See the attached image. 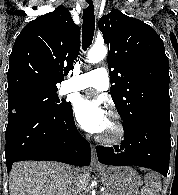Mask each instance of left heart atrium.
<instances>
[{
    "label": "left heart atrium",
    "mask_w": 178,
    "mask_h": 195,
    "mask_svg": "<svg viewBox=\"0 0 178 195\" xmlns=\"http://www.w3.org/2000/svg\"><path fill=\"white\" fill-rule=\"evenodd\" d=\"M74 112L81 127L91 133H100L108 120L100 100L79 97L74 103Z\"/></svg>",
    "instance_id": "39dd6f15"
}]
</instances>
